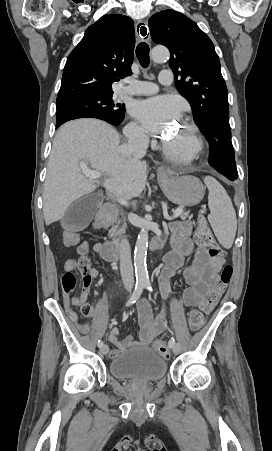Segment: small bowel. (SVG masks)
Masks as SVG:
<instances>
[{
	"mask_svg": "<svg viewBox=\"0 0 272 451\" xmlns=\"http://www.w3.org/2000/svg\"><path fill=\"white\" fill-rule=\"evenodd\" d=\"M172 238L173 252L166 255L158 277V283L161 292L165 297L170 294V279L178 272L182 271L183 279L187 288L183 292V303L187 307H193L199 304L208 287L215 284L219 279V272L222 270L225 259L209 260L208 251L200 246L195 251V257L191 265L186 266V258L193 254L195 244L192 239L193 225L189 221H175L169 226ZM89 244L83 242L78 245L77 252H89ZM100 246L96 247L99 250ZM99 276L96 269L95 274H81L82 294L80 299L64 300L67 313L70 316L72 310L70 303L80 304L81 300H87L90 294L91 282ZM92 313H82L85 316H92ZM138 318L140 323V332L138 339L128 335L123 340L118 337V330L113 328L109 334V341L113 349L109 357L114 359L124 350L139 346L146 347L150 345L165 329L167 323V311L163 310L156 318H152L149 304L143 300L138 304Z\"/></svg>",
	"mask_w": 272,
	"mask_h": 451,
	"instance_id": "small-bowel-1",
	"label": "small bowel"
}]
</instances>
